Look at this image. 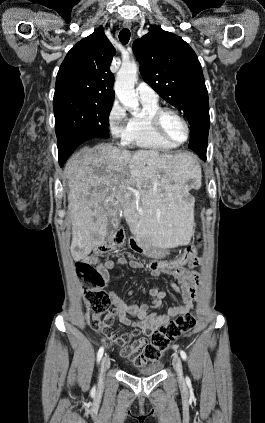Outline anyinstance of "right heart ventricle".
Segmentation results:
<instances>
[{"label":"right heart ventricle","instance_id":"1","mask_svg":"<svg viewBox=\"0 0 265 423\" xmlns=\"http://www.w3.org/2000/svg\"><path fill=\"white\" fill-rule=\"evenodd\" d=\"M143 113L132 116L125 128L123 142L140 149L152 151H170L177 146L161 139L151 124V115L160 108L157 101H141Z\"/></svg>","mask_w":265,"mask_h":423}]
</instances>
